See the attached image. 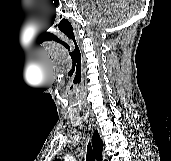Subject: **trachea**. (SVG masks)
<instances>
[{"mask_svg": "<svg viewBox=\"0 0 171 161\" xmlns=\"http://www.w3.org/2000/svg\"><path fill=\"white\" fill-rule=\"evenodd\" d=\"M86 161H94V155H93V152H92V148H91L90 142L87 145Z\"/></svg>", "mask_w": 171, "mask_h": 161, "instance_id": "3493384b", "label": "trachea"}]
</instances>
